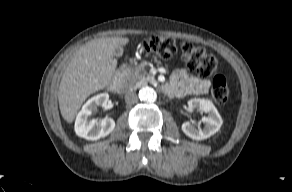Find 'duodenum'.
<instances>
[{
    "mask_svg": "<svg viewBox=\"0 0 292 192\" xmlns=\"http://www.w3.org/2000/svg\"><path fill=\"white\" fill-rule=\"evenodd\" d=\"M121 80H122L121 73L120 72L116 73V75H115V77L110 85V90L113 92H118L120 90Z\"/></svg>",
    "mask_w": 292,
    "mask_h": 192,
    "instance_id": "obj_1",
    "label": "duodenum"
}]
</instances>
